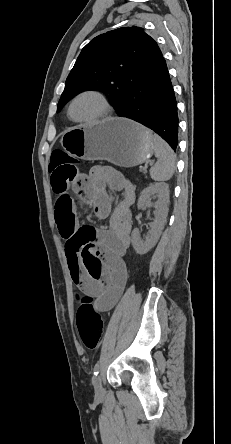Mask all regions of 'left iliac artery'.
Here are the masks:
<instances>
[{
	"mask_svg": "<svg viewBox=\"0 0 231 444\" xmlns=\"http://www.w3.org/2000/svg\"><path fill=\"white\" fill-rule=\"evenodd\" d=\"M93 370H94V375H98V373H99V364L98 363L95 364Z\"/></svg>",
	"mask_w": 231,
	"mask_h": 444,
	"instance_id": "44dca946",
	"label": "left iliac artery"
}]
</instances>
